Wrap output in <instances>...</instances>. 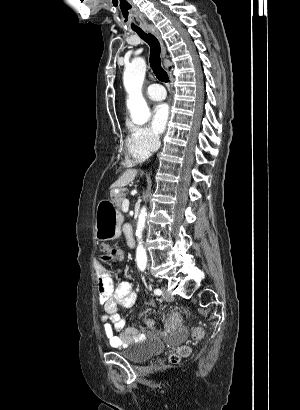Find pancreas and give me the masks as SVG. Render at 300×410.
Here are the masks:
<instances>
[{
	"label": "pancreas",
	"mask_w": 300,
	"mask_h": 410,
	"mask_svg": "<svg viewBox=\"0 0 300 410\" xmlns=\"http://www.w3.org/2000/svg\"><path fill=\"white\" fill-rule=\"evenodd\" d=\"M125 199V194L123 190L119 193L112 192V200L115 202L116 206L121 209L123 200Z\"/></svg>",
	"instance_id": "pancreas-1"
}]
</instances>
